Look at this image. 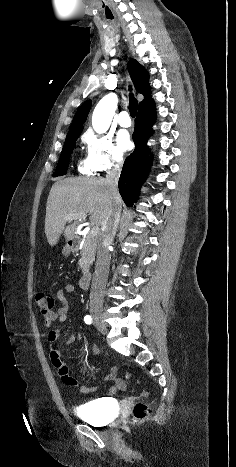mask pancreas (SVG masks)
Segmentation results:
<instances>
[{"label": "pancreas", "instance_id": "1", "mask_svg": "<svg viewBox=\"0 0 236 467\" xmlns=\"http://www.w3.org/2000/svg\"><path fill=\"white\" fill-rule=\"evenodd\" d=\"M96 252V239L88 234L84 240L81 250V258L79 260V267L84 275L89 273L90 266L95 260Z\"/></svg>", "mask_w": 236, "mask_h": 467}]
</instances>
